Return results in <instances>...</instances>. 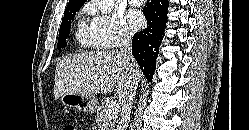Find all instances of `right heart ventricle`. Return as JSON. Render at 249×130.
Returning <instances> with one entry per match:
<instances>
[{"label":"right heart ventricle","instance_id":"e07e8e85","mask_svg":"<svg viewBox=\"0 0 249 130\" xmlns=\"http://www.w3.org/2000/svg\"><path fill=\"white\" fill-rule=\"evenodd\" d=\"M76 41L83 47L96 46L90 27L84 21H80L75 33Z\"/></svg>","mask_w":249,"mask_h":130}]
</instances>
